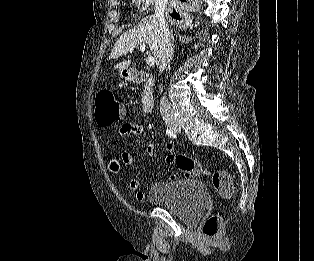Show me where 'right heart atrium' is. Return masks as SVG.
I'll list each match as a JSON object with an SVG mask.
<instances>
[{"instance_id":"d8ad5b80","label":"right heart atrium","mask_w":314,"mask_h":261,"mask_svg":"<svg viewBox=\"0 0 314 261\" xmlns=\"http://www.w3.org/2000/svg\"><path fill=\"white\" fill-rule=\"evenodd\" d=\"M160 0H134L136 6L143 10L148 11Z\"/></svg>"}]
</instances>
